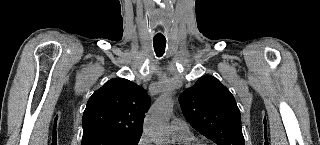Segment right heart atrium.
I'll return each mask as SVG.
<instances>
[{"label": "right heart atrium", "instance_id": "right-heart-atrium-1", "mask_svg": "<svg viewBox=\"0 0 320 145\" xmlns=\"http://www.w3.org/2000/svg\"><path fill=\"white\" fill-rule=\"evenodd\" d=\"M137 144H138V145H151V142H150L149 138H148L145 134H143V135H141V137L139 138Z\"/></svg>", "mask_w": 320, "mask_h": 145}]
</instances>
